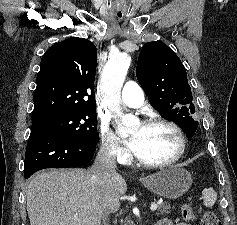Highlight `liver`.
<instances>
[{
	"label": "liver",
	"mask_w": 237,
	"mask_h": 225,
	"mask_svg": "<svg viewBox=\"0 0 237 225\" xmlns=\"http://www.w3.org/2000/svg\"><path fill=\"white\" fill-rule=\"evenodd\" d=\"M127 191L120 174L110 181L92 169H52L36 174L27 184L30 225H101L102 209L119 207Z\"/></svg>",
	"instance_id": "6515ba94"
}]
</instances>
